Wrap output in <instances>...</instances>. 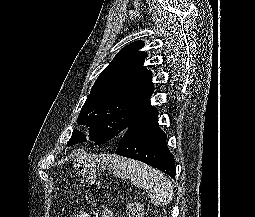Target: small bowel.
<instances>
[{"label":"small bowel","mask_w":255,"mask_h":217,"mask_svg":"<svg viewBox=\"0 0 255 217\" xmlns=\"http://www.w3.org/2000/svg\"><path fill=\"white\" fill-rule=\"evenodd\" d=\"M75 217H90V214L88 212L81 211V212L77 213ZM106 217H110V216L107 215Z\"/></svg>","instance_id":"1"}]
</instances>
